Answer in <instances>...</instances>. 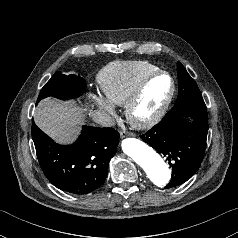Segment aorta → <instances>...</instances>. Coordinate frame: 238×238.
<instances>
[{"mask_svg":"<svg viewBox=\"0 0 238 238\" xmlns=\"http://www.w3.org/2000/svg\"><path fill=\"white\" fill-rule=\"evenodd\" d=\"M122 150L146 172L157 186H164L170 180V170L164 160L149 146L136 138L122 140Z\"/></svg>","mask_w":238,"mask_h":238,"instance_id":"1","label":"aorta"}]
</instances>
